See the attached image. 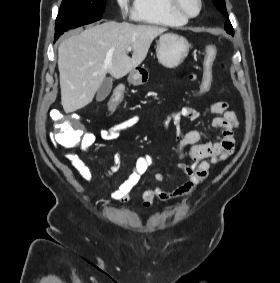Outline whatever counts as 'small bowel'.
Masks as SVG:
<instances>
[{"label":"small bowel","mask_w":280,"mask_h":283,"mask_svg":"<svg viewBox=\"0 0 280 283\" xmlns=\"http://www.w3.org/2000/svg\"><path fill=\"white\" fill-rule=\"evenodd\" d=\"M209 112L216 117L212 119L211 126L219 129L214 141L200 143L205 136V130L183 131L181 128L182 119L198 120L199 112L190 107L174 111L163 119L154 120V125L163 129L168 123L176 125V155L179 160L177 168L186 176L187 180L172 190H165L161 187H148L142 192V207L149 209L156 199L160 202H167L174 198H183L192 194L208 177L211 166L216 165L229 158L235 148L234 129L238 126V119L233 111L228 110L225 102H215L210 105ZM140 121L139 115H133L116 125L100 130L99 137L103 140H113L119 134L137 124ZM96 135L91 132H82L80 139V150L86 152L95 142ZM73 169L87 182L93 180V174L87 164L75 153L67 155ZM118 159V156H116ZM185 159H191L192 164H186ZM152 163L148 154L139 156L136 159L128 177L111 194L113 200L121 203L130 201L131 192L137 185L140 178L147 171ZM119 170V163L116 161L106 172L110 177ZM155 180L162 182L166 180L163 173H156Z\"/></svg>","instance_id":"obj_1"}]
</instances>
